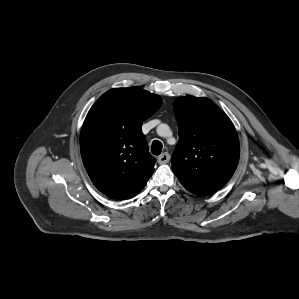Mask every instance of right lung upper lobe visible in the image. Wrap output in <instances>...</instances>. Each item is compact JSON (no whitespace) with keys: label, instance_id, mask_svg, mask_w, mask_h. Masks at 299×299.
I'll list each match as a JSON object with an SVG mask.
<instances>
[{"label":"right lung upper lobe","instance_id":"obj_1","mask_svg":"<svg viewBox=\"0 0 299 299\" xmlns=\"http://www.w3.org/2000/svg\"><path fill=\"white\" fill-rule=\"evenodd\" d=\"M162 100L138 87L113 88L89 110L80 135L83 164L95 187L117 199L139 193L154 171L141 131Z\"/></svg>","mask_w":299,"mask_h":299}]
</instances>
